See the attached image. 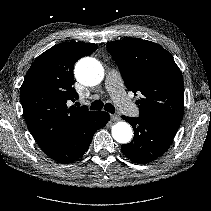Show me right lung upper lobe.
Masks as SVG:
<instances>
[{
	"label": "right lung upper lobe",
	"mask_w": 211,
	"mask_h": 211,
	"mask_svg": "<svg viewBox=\"0 0 211 211\" xmlns=\"http://www.w3.org/2000/svg\"><path fill=\"white\" fill-rule=\"evenodd\" d=\"M98 46L66 42L42 53L29 68L20 88L28 129L44 153L59 147L82 120L96 111L69 107L78 99L73 85V66Z\"/></svg>",
	"instance_id": "cb5924a9"
}]
</instances>
